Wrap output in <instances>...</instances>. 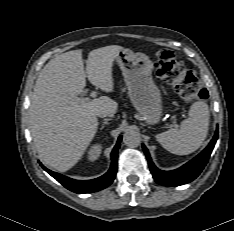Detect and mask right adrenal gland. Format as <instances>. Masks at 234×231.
<instances>
[{
	"mask_svg": "<svg viewBox=\"0 0 234 231\" xmlns=\"http://www.w3.org/2000/svg\"><path fill=\"white\" fill-rule=\"evenodd\" d=\"M110 120H111V119H104L103 122H102V126H101L100 130H102V129L104 128L105 125H108V124H109L108 122H109Z\"/></svg>",
	"mask_w": 234,
	"mask_h": 231,
	"instance_id": "obj_1",
	"label": "right adrenal gland"
}]
</instances>
